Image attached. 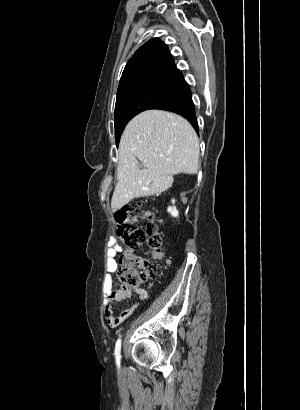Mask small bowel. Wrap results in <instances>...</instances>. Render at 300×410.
Listing matches in <instances>:
<instances>
[{
	"label": "small bowel",
	"mask_w": 300,
	"mask_h": 410,
	"mask_svg": "<svg viewBox=\"0 0 300 410\" xmlns=\"http://www.w3.org/2000/svg\"><path fill=\"white\" fill-rule=\"evenodd\" d=\"M109 246V258L107 261V267L109 271L115 270L117 267V262L115 256L118 253L126 252L123 247L115 240H110L108 242ZM104 289V316L107 323L111 327H116L127 318H129L132 313L136 310L140 302L147 298V291L144 288H114V281L111 274H108L103 282ZM133 295L137 296L136 302L130 307L122 310L119 314L115 313L114 304L118 301L132 297Z\"/></svg>",
	"instance_id": "obj_1"
}]
</instances>
